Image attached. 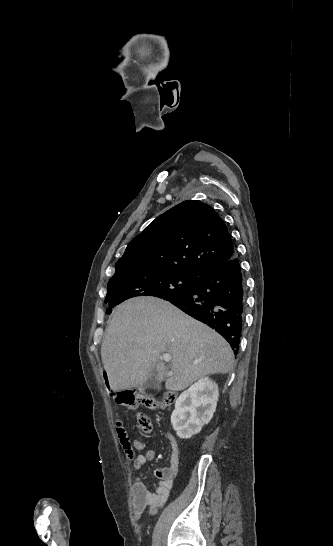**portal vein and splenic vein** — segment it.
Listing matches in <instances>:
<instances>
[{"mask_svg":"<svg viewBox=\"0 0 333 546\" xmlns=\"http://www.w3.org/2000/svg\"><path fill=\"white\" fill-rule=\"evenodd\" d=\"M162 359L165 362H170L171 361V356L169 354H163Z\"/></svg>","mask_w":333,"mask_h":546,"instance_id":"portal-vein-and-splenic-vein-1","label":"portal vein and splenic vein"}]
</instances>
